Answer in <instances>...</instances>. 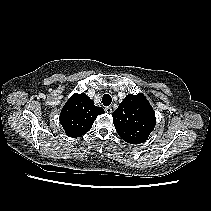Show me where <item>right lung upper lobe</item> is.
Returning a JSON list of instances; mask_svg holds the SVG:
<instances>
[{
  "label": "right lung upper lobe",
  "instance_id": "cb5924a9",
  "mask_svg": "<svg viewBox=\"0 0 211 211\" xmlns=\"http://www.w3.org/2000/svg\"><path fill=\"white\" fill-rule=\"evenodd\" d=\"M105 113L94 105L85 93L72 95L60 113V123L69 137H80L88 132L96 117Z\"/></svg>",
  "mask_w": 211,
  "mask_h": 211
}]
</instances>
